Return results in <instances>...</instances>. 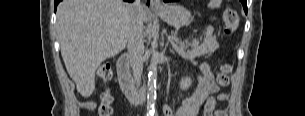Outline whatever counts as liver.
I'll return each instance as SVG.
<instances>
[{"mask_svg":"<svg viewBox=\"0 0 305 116\" xmlns=\"http://www.w3.org/2000/svg\"><path fill=\"white\" fill-rule=\"evenodd\" d=\"M136 15L123 0H63L57 8L61 55L78 92L89 97L95 89L99 65L119 54L127 44L128 29ZM142 23L148 14H139Z\"/></svg>","mask_w":305,"mask_h":116,"instance_id":"6515ba94","label":"liver"}]
</instances>
